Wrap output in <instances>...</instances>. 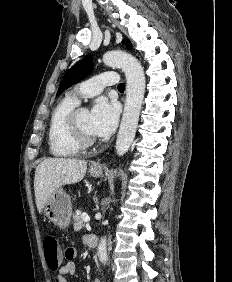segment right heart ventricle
I'll use <instances>...</instances> for the list:
<instances>
[{"mask_svg":"<svg viewBox=\"0 0 232 282\" xmlns=\"http://www.w3.org/2000/svg\"><path fill=\"white\" fill-rule=\"evenodd\" d=\"M78 105L71 95L63 97L53 108L49 120L48 145L55 157H70L80 151V147L70 138L66 118L69 112Z\"/></svg>","mask_w":232,"mask_h":282,"instance_id":"e07e8e85","label":"right heart ventricle"}]
</instances>
